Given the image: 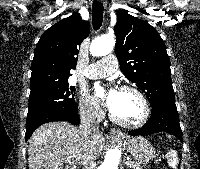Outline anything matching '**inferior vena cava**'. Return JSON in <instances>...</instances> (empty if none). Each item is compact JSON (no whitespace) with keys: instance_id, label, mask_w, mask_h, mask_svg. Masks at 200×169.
<instances>
[{"instance_id":"obj_1","label":"inferior vena cava","mask_w":200,"mask_h":169,"mask_svg":"<svg viewBox=\"0 0 200 169\" xmlns=\"http://www.w3.org/2000/svg\"><path fill=\"white\" fill-rule=\"evenodd\" d=\"M80 129L84 137H89L92 134L99 133V124L96 121L94 108H90L81 114V125ZM95 165L94 161L85 162V169H93Z\"/></svg>"}]
</instances>
